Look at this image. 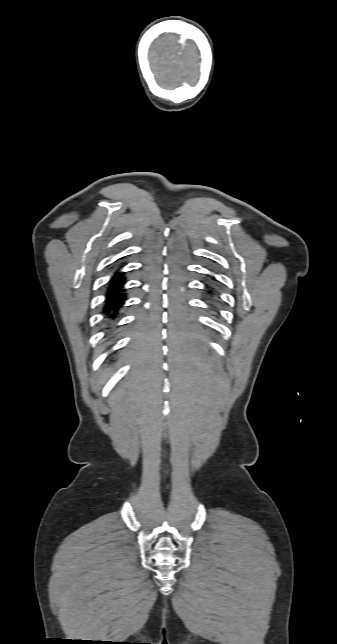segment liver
I'll return each instance as SVG.
<instances>
[{"instance_id": "6515ba94", "label": "liver", "mask_w": 337, "mask_h": 644, "mask_svg": "<svg viewBox=\"0 0 337 644\" xmlns=\"http://www.w3.org/2000/svg\"><path fill=\"white\" fill-rule=\"evenodd\" d=\"M106 380V377H103L102 381L104 382Z\"/></svg>"}]
</instances>
